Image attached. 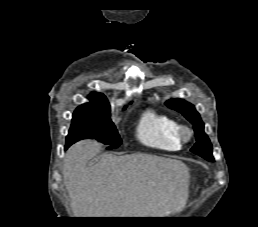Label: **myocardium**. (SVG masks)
Here are the masks:
<instances>
[{"label": "myocardium", "mask_w": 258, "mask_h": 227, "mask_svg": "<svg viewBox=\"0 0 258 227\" xmlns=\"http://www.w3.org/2000/svg\"><path fill=\"white\" fill-rule=\"evenodd\" d=\"M176 134L180 142H189L193 137V129L185 124H180L177 127Z\"/></svg>", "instance_id": "f54148a6"}]
</instances>
